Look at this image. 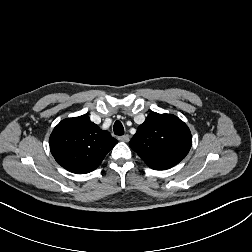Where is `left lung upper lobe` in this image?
Listing matches in <instances>:
<instances>
[{
  "label": "left lung upper lobe",
  "mask_w": 252,
  "mask_h": 252,
  "mask_svg": "<svg viewBox=\"0 0 252 252\" xmlns=\"http://www.w3.org/2000/svg\"><path fill=\"white\" fill-rule=\"evenodd\" d=\"M192 136L187 125L175 115L150 113L138 127L129 146L152 169L179 163L189 152Z\"/></svg>",
  "instance_id": "obj_1"
}]
</instances>
